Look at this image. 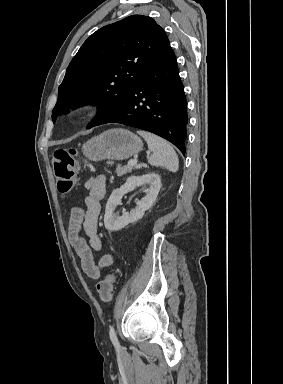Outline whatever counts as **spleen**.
I'll return each instance as SVG.
<instances>
[{
    "mask_svg": "<svg viewBox=\"0 0 283 384\" xmlns=\"http://www.w3.org/2000/svg\"><path fill=\"white\" fill-rule=\"evenodd\" d=\"M137 134L146 140L148 150L153 152L152 156L148 158L151 166H157V168L161 166V168H166L169 172H177L179 168L178 156L166 140H162V138H158L154 134H149V132H137Z\"/></svg>",
    "mask_w": 283,
    "mask_h": 384,
    "instance_id": "obj_1",
    "label": "spleen"
}]
</instances>
